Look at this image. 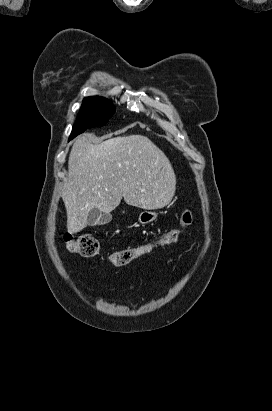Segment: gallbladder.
Segmentation results:
<instances>
[{"label": "gallbladder", "instance_id": "bac80fb5", "mask_svg": "<svg viewBox=\"0 0 272 411\" xmlns=\"http://www.w3.org/2000/svg\"><path fill=\"white\" fill-rule=\"evenodd\" d=\"M109 215H103V213L97 209L93 208L88 214L87 224L89 226L104 225L110 221Z\"/></svg>", "mask_w": 272, "mask_h": 411}]
</instances>
